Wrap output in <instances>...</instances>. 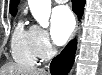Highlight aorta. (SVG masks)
Masks as SVG:
<instances>
[{"mask_svg":"<svg viewBox=\"0 0 102 75\" xmlns=\"http://www.w3.org/2000/svg\"><path fill=\"white\" fill-rule=\"evenodd\" d=\"M28 5L33 17L43 27L49 26L51 0H28Z\"/></svg>","mask_w":102,"mask_h":75,"instance_id":"762f6f07","label":"aorta"}]
</instances>
